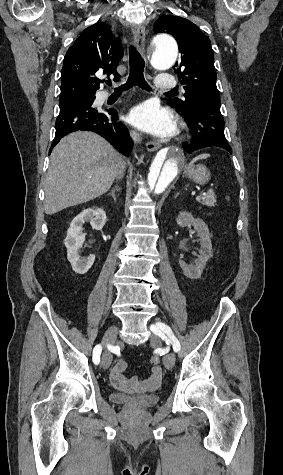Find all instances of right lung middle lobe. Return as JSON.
Instances as JSON below:
<instances>
[{
	"label": "right lung middle lobe",
	"mask_w": 283,
	"mask_h": 475,
	"mask_svg": "<svg viewBox=\"0 0 283 475\" xmlns=\"http://www.w3.org/2000/svg\"><path fill=\"white\" fill-rule=\"evenodd\" d=\"M81 99H95V93L93 92H85L76 89H61L60 93V104L73 101V100H81Z\"/></svg>",
	"instance_id": "obj_1"
}]
</instances>
